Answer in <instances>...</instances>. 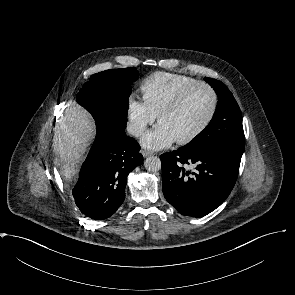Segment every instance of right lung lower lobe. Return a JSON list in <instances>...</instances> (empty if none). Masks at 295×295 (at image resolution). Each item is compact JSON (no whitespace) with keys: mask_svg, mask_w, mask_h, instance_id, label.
Wrapping results in <instances>:
<instances>
[{"mask_svg":"<svg viewBox=\"0 0 295 295\" xmlns=\"http://www.w3.org/2000/svg\"><path fill=\"white\" fill-rule=\"evenodd\" d=\"M96 123V138L82 165L72 194L87 217L102 220L113 215L125 199L128 174L143 162L140 146L123 128Z\"/></svg>","mask_w":295,"mask_h":295,"instance_id":"right-lung-lower-lobe-1","label":"right lung lower lobe"}]
</instances>
